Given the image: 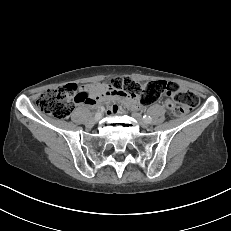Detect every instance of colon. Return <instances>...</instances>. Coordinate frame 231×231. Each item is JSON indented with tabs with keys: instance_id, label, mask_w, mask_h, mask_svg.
I'll return each mask as SVG.
<instances>
[{
	"instance_id": "1",
	"label": "colon",
	"mask_w": 231,
	"mask_h": 231,
	"mask_svg": "<svg viewBox=\"0 0 231 231\" xmlns=\"http://www.w3.org/2000/svg\"><path fill=\"white\" fill-rule=\"evenodd\" d=\"M110 87L129 96L138 95L142 105L153 104L165 96L168 112L175 117L198 106V97L191 91L182 90L175 82L156 80L140 85L128 78H114L110 81ZM81 98V90L76 84H66L42 93L37 106L45 114L64 119L70 115L74 102Z\"/></svg>"
}]
</instances>
